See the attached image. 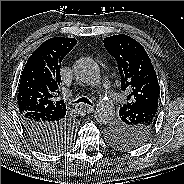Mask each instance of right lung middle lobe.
Returning a JSON list of instances; mask_svg holds the SVG:
<instances>
[{
	"mask_svg": "<svg viewBox=\"0 0 184 184\" xmlns=\"http://www.w3.org/2000/svg\"><path fill=\"white\" fill-rule=\"evenodd\" d=\"M73 140V132L72 130H68L66 132V134L64 135L62 142L58 145V146H53V147H43V151L48 152V153H57L60 151H63L65 149H62L64 146H66L67 144H69V142H72ZM69 147V146H67Z\"/></svg>",
	"mask_w": 184,
	"mask_h": 184,
	"instance_id": "dd1d6c3e",
	"label": "right lung middle lobe"
}]
</instances>
